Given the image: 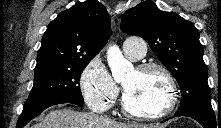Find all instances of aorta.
Here are the masks:
<instances>
[{"label": "aorta", "instance_id": "1", "mask_svg": "<svg viewBox=\"0 0 221 128\" xmlns=\"http://www.w3.org/2000/svg\"><path fill=\"white\" fill-rule=\"evenodd\" d=\"M107 62L115 81H121L126 73L133 70V65L124 58L117 45H111L107 49Z\"/></svg>", "mask_w": 221, "mask_h": 128}]
</instances>
